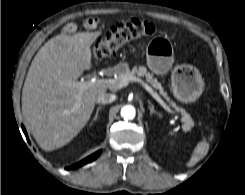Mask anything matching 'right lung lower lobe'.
<instances>
[{
	"mask_svg": "<svg viewBox=\"0 0 245 195\" xmlns=\"http://www.w3.org/2000/svg\"><path fill=\"white\" fill-rule=\"evenodd\" d=\"M22 129H23V132H24V134H25V136H26V138L28 140V136H27V133H26V130H25L24 126H22ZM28 142H29V140H28ZM101 152L102 151L99 150V151L95 152L94 154H92V155L86 157L85 159L81 160L80 162L72 165L71 167H67L66 169L67 170H70V169L75 170V169H77V168H79V167H81V166H83V165H85L87 163H90L93 160L97 159L99 157V155L101 154Z\"/></svg>",
	"mask_w": 245,
	"mask_h": 195,
	"instance_id": "obj_1",
	"label": "right lung lower lobe"
}]
</instances>
